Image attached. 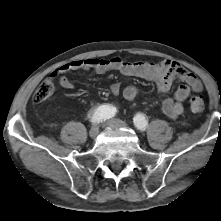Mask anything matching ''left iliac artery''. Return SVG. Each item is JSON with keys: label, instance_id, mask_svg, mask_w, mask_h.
I'll return each mask as SVG.
<instances>
[{"label": "left iliac artery", "instance_id": "44dca946", "mask_svg": "<svg viewBox=\"0 0 221 221\" xmlns=\"http://www.w3.org/2000/svg\"><path fill=\"white\" fill-rule=\"evenodd\" d=\"M133 122H134L135 127L139 129L140 131H145L148 125V122L143 114H137L133 118Z\"/></svg>", "mask_w": 221, "mask_h": 221}]
</instances>
